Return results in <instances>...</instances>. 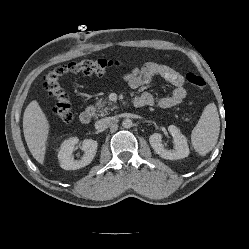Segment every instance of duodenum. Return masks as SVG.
Wrapping results in <instances>:
<instances>
[{
	"instance_id": "410a0bca",
	"label": "duodenum",
	"mask_w": 249,
	"mask_h": 249,
	"mask_svg": "<svg viewBox=\"0 0 249 249\" xmlns=\"http://www.w3.org/2000/svg\"><path fill=\"white\" fill-rule=\"evenodd\" d=\"M92 115H93V111L91 109H87V110L83 111L80 114V121H81V123L88 124L91 121Z\"/></svg>"
}]
</instances>
